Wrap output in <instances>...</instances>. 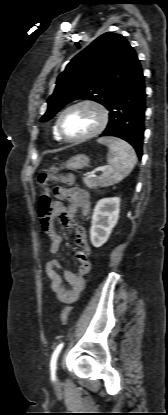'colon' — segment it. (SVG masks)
Returning <instances> with one entry per match:
<instances>
[{
    "mask_svg": "<svg viewBox=\"0 0 168 415\" xmlns=\"http://www.w3.org/2000/svg\"><path fill=\"white\" fill-rule=\"evenodd\" d=\"M48 181H61L66 184H72L74 181V175L72 172H67L65 174L60 175H42L40 177V183L43 187V193L41 194L39 199L38 215L44 228H48L56 218V209L51 200L49 188L47 187ZM72 310V306H67L63 309L61 313V322L63 325L67 323Z\"/></svg>",
    "mask_w": 168,
    "mask_h": 415,
    "instance_id": "colon-1",
    "label": "colon"
}]
</instances>
